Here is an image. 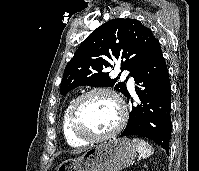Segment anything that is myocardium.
<instances>
[{
	"label": "myocardium",
	"mask_w": 199,
	"mask_h": 171,
	"mask_svg": "<svg viewBox=\"0 0 199 171\" xmlns=\"http://www.w3.org/2000/svg\"><path fill=\"white\" fill-rule=\"evenodd\" d=\"M95 94H106L112 97L114 101L117 103L120 112V118L116 127L113 130L109 131L108 133L102 135H93L88 133L85 129L81 127L79 121L80 108L83 101ZM127 120H128V109L125 104V101L123 100V98L120 96L119 93L107 87H95L83 92L72 102L69 112V124L72 133L76 137L85 140L86 142H101L115 137L123 130Z\"/></svg>",
	"instance_id": "f54148a6"
}]
</instances>
